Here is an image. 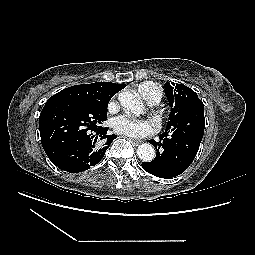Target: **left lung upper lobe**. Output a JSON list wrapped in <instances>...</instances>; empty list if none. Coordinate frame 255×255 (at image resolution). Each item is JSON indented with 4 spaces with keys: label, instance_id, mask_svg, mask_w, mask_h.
<instances>
[{
    "label": "left lung upper lobe",
    "instance_id": "1",
    "mask_svg": "<svg viewBox=\"0 0 255 255\" xmlns=\"http://www.w3.org/2000/svg\"><path fill=\"white\" fill-rule=\"evenodd\" d=\"M165 93L171 107L167 127L190 124L198 112L204 110L197 93L184 84L166 83Z\"/></svg>",
    "mask_w": 255,
    "mask_h": 255
}]
</instances>
